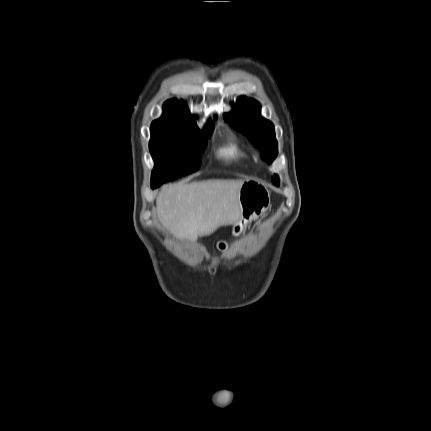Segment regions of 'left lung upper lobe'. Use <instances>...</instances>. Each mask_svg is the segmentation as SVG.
Instances as JSON below:
<instances>
[{
    "label": "left lung upper lobe",
    "mask_w": 431,
    "mask_h": 431,
    "mask_svg": "<svg viewBox=\"0 0 431 431\" xmlns=\"http://www.w3.org/2000/svg\"><path fill=\"white\" fill-rule=\"evenodd\" d=\"M237 111L224 114V119L233 128L245 134L252 143L262 150V157L271 163L277 156V141L273 124L260 116V104L244 96L238 98ZM272 182L278 186L279 177L275 175Z\"/></svg>",
    "instance_id": "left-lung-upper-lobe-1"
}]
</instances>
